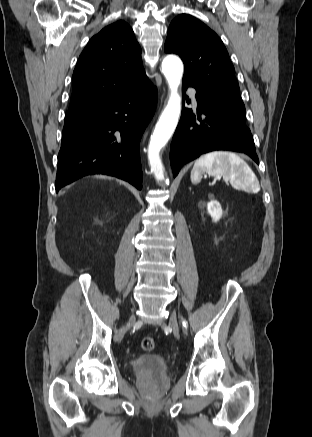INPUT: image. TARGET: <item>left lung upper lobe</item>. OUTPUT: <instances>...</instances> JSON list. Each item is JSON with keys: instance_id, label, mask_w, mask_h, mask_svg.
Returning a JSON list of instances; mask_svg holds the SVG:
<instances>
[{"instance_id": "1", "label": "left lung upper lobe", "mask_w": 312, "mask_h": 437, "mask_svg": "<svg viewBox=\"0 0 312 437\" xmlns=\"http://www.w3.org/2000/svg\"><path fill=\"white\" fill-rule=\"evenodd\" d=\"M164 49L183 60V81L200 94L225 103L246 122L235 69L215 32L193 16L181 14L170 24Z\"/></svg>"}]
</instances>
